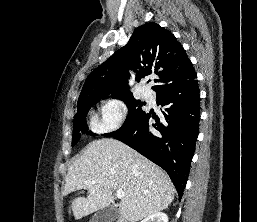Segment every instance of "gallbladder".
<instances>
[{"label":"gallbladder","instance_id":"bac80fb5","mask_svg":"<svg viewBox=\"0 0 257 222\" xmlns=\"http://www.w3.org/2000/svg\"><path fill=\"white\" fill-rule=\"evenodd\" d=\"M118 216L117 208L114 206L103 208L95 213L90 222H113Z\"/></svg>","mask_w":257,"mask_h":222}]
</instances>
